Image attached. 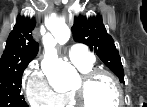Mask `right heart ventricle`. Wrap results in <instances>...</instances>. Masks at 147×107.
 <instances>
[{"mask_svg":"<svg viewBox=\"0 0 147 107\" xmlns=\"http://www.w3.org/2000/svg\"><path fill=\"white\" fill-rule=\"evenodd\" d=\"M81 72H86L93 67V63L89 65H83V66H76ZM60 105H63L65 107H75V102L73 99V96L71 92L62 94L60 97Z\"/></svg>","mask_w":147,"mask_h":107,"instance_id":"right-heart-ventricle-1","label":"right heart ventricle"}]
</instances>
